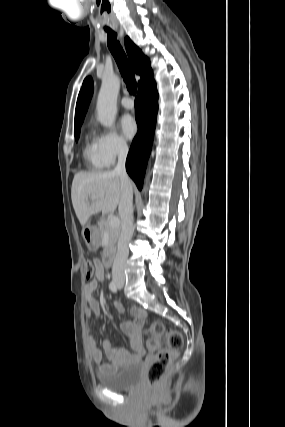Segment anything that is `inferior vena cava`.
Wrapping results in <instances>:
<instances>
[{"label": "inferior vena cava", "instance_id": "obj_1", "mask_svg": "<svg viewBox=\"0 0 285 427\" xmlns=\"http://www.w3.org/2000/svg\"><path fill=\"white\" fill-rule=\"evenodd\" d=\"M127 154L128 147L126 145H121L119 147L118 162L113 171L120 176L122 189L119 202V215L122 222V229L118 240L117 254L112 268L113 275H124L126 261L129 255L128 245L134 233L133 189L125 169Z\"/></svg>", "mask_w": 285, "mask_h": 427}]
</instances>
